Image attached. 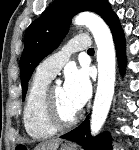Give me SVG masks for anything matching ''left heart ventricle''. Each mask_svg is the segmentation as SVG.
<instances>
[{
    "label": "left heart ventricle",
    "instance_id": "left-heart-ventricle-1",
    "mask_svg": "<svg viewBox=\"0 0 139 150\" xmlns=\"http://www.w3.org/2000/svg\"><path fill=\"white\" fill-rule=\"evenodd\" d=\"M53 94L60 117L65 121L70 120L78 109L70 102L62 86H54Z\"/></svg>",
    "mask_w": 139,
    "mask_h": 150
}]
</instances>
